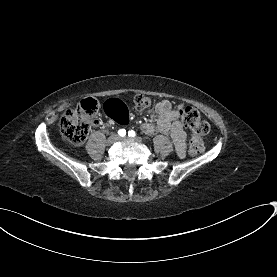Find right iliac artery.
<instances>
[{
  "label": "right iliac artery",
  "mask_w": 277,
  "mask_h": 277,
  "mask_svg": "<svg viewBox=\"0 0 277 277\" xmlns=\"http://www.w3.org/2000/svg\"><path fill=\"white\" fill-rule=\"evenodd\" d=\"M118 135L121 136V137L125 136L126 135V130L125 129H119L118 130Z\"/></svg>",
  "instance_id": "82829eb1"
}]
</instances>
